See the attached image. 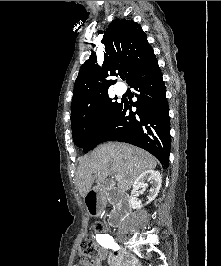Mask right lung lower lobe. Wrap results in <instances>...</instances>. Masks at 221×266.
I'll list each match as a JSON object with an SVG mask.
<instances>
[{
    "label": "right lung lower lobe",
    "instance_id": "98d812e1",
    "mask_svg": "<svg viewBox=\"0 0 221 266\" xmlns=\"http://www.w3.org/2000/svg\"><path fill=\"white\" fill-rule=\"evenodd\" d=\"M129 85L135 89L137 101L123 100L112 127L99 143L117 140L143 148L168 168L170 154V118L166 88L155 59L135 72ZM136 107V112L131 110Z\"/></svg>",
    "mask_w": 221,
    "mask_h": 266
}]
</instances>
